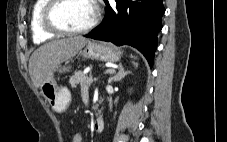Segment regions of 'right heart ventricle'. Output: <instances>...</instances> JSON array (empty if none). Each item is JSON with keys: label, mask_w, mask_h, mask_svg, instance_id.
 <instances>
[{"label": "right heart ventricle", "mask_w": 227, "mask_h": 142, "mask_svg": "<svg viewBox=\"0 0 227 142\" xmlns=\"http://www.w3.org/2000/svg\"><path fill=\"white\" fill-rule=\"evenodd\" d=\"M49 0H35L30 17L33 41L37 44L54 38L55 34L47 31L42 23V12Z\"/></svg>", "instance_id": "e07e8e85"}]
</instances>
